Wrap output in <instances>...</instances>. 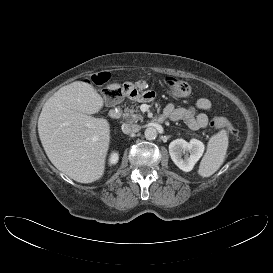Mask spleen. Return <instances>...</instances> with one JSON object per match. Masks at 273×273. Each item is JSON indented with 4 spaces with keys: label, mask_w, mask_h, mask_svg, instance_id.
Segmentation results:
<instances>
[{
    "label": "spleen",
    "mask_w": 273,
    "mask_h": 273,
    "mask_svg": "<svg viewBox=\"0 0 273 273\" xmlns=\"http://www.w3.org/2000/svg\"><path fill=\"white\" fill-rule=\"evenodd\" d=\"M228 134L225 129L213 135L207 145V151L203 156L198 174L202 177H210L223 164L228 148Z\"/></svg>",
    "instance_id": "obj_1"
}]
</instances>
